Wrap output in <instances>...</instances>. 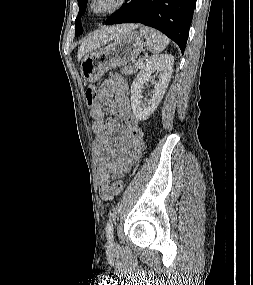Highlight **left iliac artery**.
I'll return each mask as SVG.
<instances>
[{
    "label": "left iliac artery",
    "instance_id": "1",
    "mask_svg": "<svg viewBox=\"0 0 253 285\" xmlns=\"http://www.w3.org/2000/svg\"><path fill=\"white\" fill-rule=\"evenodd\" d=\"M113 215L109 218L107 225H106V235L109 241L113 239Z\"/></svg>",
    "mask_w": 253,
    "mask_h": 285
}]
</instances>
